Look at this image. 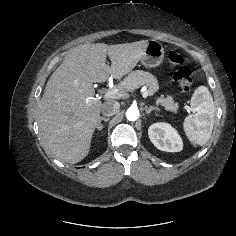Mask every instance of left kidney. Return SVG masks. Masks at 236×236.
<instances>
[{
  "label": "left kidney",
  "mask_w": 236,
  "mask_h": 236,
  "mask_svg": "<svg viewBox=\"0 0 236 236\" xmlns=\"http://www.w3.org/2000/svg\"><path fill=\"white\" fill-rule=\"evenodd\" d=\"M148 135L154 146L166 152H180L183 142L178 132L168 123H155L148 129Z\"/></svg>",
  "instance_id": "5707ae66"
}]
</instances>
